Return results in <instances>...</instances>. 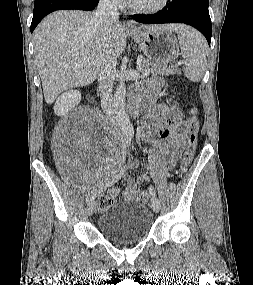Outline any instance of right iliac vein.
Masks as SVG:
<instances>
[{"mask_svg": "<svg viewBox=\"0 0 253 285\" xmlns=\"http://www.w3.org/2000/svg\"><path fill=\"white\" fill-rule=\"evenodd\" d=\"M95 211H96V201L94 199H91L87 205L88 215L89 216L93 215Z\"/></svg>", "mask_w": 253, "mask_h": 285, "instance_id": "1", "label": "right iliac vein"}]
</instances>
